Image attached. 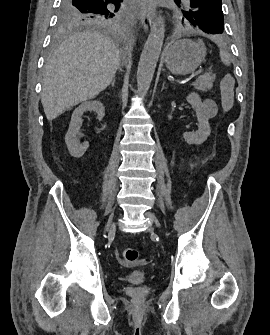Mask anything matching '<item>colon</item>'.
<instances>
[{"instance_id": "1", "label": "colon", "mask_w": 270, "mask_h": 335, "mask_svg": "<svg viewBox=\"0 0 270 335\" xmlns=\"http://www.w3.org/2000/svg\"><path fill=\"white\" fill-rule=\"evenodd\" d=\"M219 78L222 79V90L219 108L220 109H235L236 103L232 102L234 98L235 79L232 72H220ZM138 256L137 250L134 248L121 249L117 253V258L123 264L133 263Z\"/></svg>"}]
</instances>
